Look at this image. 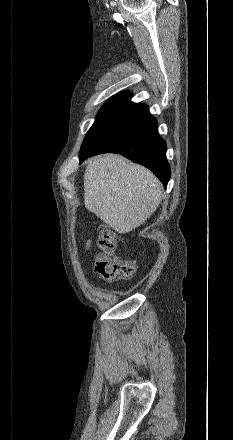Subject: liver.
Returning a JSON list of instances; mask_svg holds the SVG:
<instances>
[{
    "label": "liver",
    "mask_w": 233,
    "mask_h": 440,
    "mask_svg": "<svg viewBox=\"0 0 233 440\" xmlns=\"http://www.w3.org/2000/svg\"><path fill=\"white\" fill-rule=\"evenodd\" d=\"M161 199L162 185L145 167L116 154L88 160L84 174L85 206L118 233L141 226Z\"/></svg>",
    "instance_id": "obj_1"
}]
</instances>
